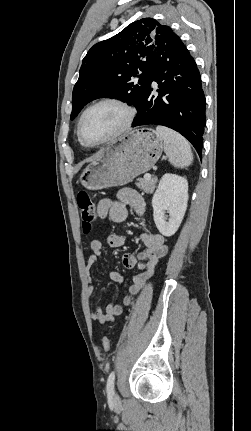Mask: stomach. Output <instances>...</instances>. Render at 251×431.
Instances as JSON below:
<instances>
[{
	"label": "stomach",
	"instance_id": "0dacf381",
	"mask_svg": "<svg viewBox=\"0 0 251 431\" xmlns=\"http://www.w3.org/2000/svg\"><path fill=\"white\" fill-rule=\"evenodd\" d=\"M164 148L162 138L149 128L134 130L104 148L80 175L90 190L123 186L149 171Z\"/></svg>",
	"mask_w": 251,
	"mask_h": 431
}]
</instances>
